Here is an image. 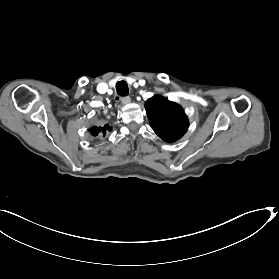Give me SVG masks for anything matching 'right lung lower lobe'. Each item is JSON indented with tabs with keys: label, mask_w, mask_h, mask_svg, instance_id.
<instances>
[{
	"label": "right lung lower lobe",
	"mask_w": 279,
	"mask_h": 279,
	"mask_svg": "<svg viewBox=\"0 0 279 279\" xmlns=\"http://www.w3.org/2000/svg\"><path fill=\"white\" fill-rule=\"evenodd\" d=\"M105 130H111V127H109V125L107 124V125H105L103 128H101V127H92L91 129H90V132H91V134L93 135V136H96V135H98V133H100V132H105Z\"/></svg>",
	"instance_id": "98d812e1"
}]
</instances>
